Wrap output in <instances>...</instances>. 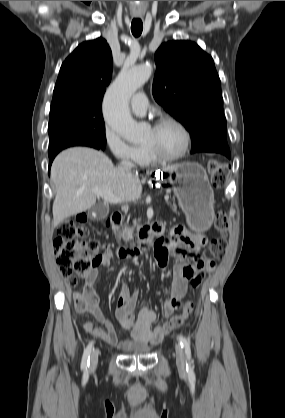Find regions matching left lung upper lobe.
I'll use <instances>...</instances> for the list:
<instances>
[{
	"label": "left lung upper lobe",
	"mask_w": 285,
	"mask_h": 418,
	"mask_svg": "<svg viewBox=\"0 0 285 418\" xmlns=\"http://www.w3.org/2000/svg\"><path fill=\"white\" fill-rule=\"evenodd\" d=\"M155 100L189 131L191 153L230 156L221 82L214 61L196 43H163L155 53Z\"/></svg>",
	"instance_id": "5c2ea615"
}]
</instances>
